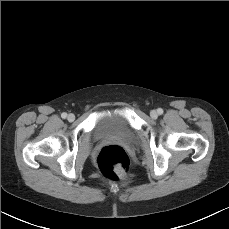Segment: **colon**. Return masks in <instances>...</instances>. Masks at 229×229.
Here are the masks:
<instances>
[{"mask_svg":"<svg viewBox=\"0 0 229 229\" xmlns=\"http://www.w3.org/2000/svg\"><path fill=\"white\" fill-rule=\"evenodd\" d=\"M130 160L126 151L117 145L103 147L97 156V165L106 177H118L129 167Z\"/></svg>","mask_w":229,"mask_h":229,"instance_id":"obj_1","label":"colon"}]
</instances>
